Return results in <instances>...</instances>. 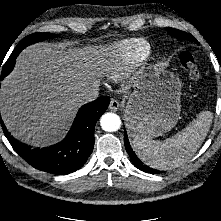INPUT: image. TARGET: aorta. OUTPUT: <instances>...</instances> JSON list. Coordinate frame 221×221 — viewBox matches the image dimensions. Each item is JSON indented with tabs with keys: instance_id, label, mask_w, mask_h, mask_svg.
Here are the masks:
<instances>
[{
	"instance_id": "aorta-1",
	"label": "aorta",
	"mask_w": 221,
	"mask_h": 221,
	"mask_svg": "<svg viewBox=\"0 0 221 221\" xmlns=\"http://www.w3.org/2000/svg\"><path fill=\"white\" fill-rule=\"evenodd\" d=\"M100 124L103 130L115 132L120 129L121 120L117 114L106 113L101 117Z\"/></svg>"
}]
</instances>
